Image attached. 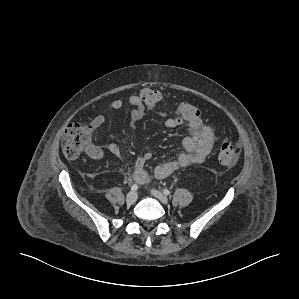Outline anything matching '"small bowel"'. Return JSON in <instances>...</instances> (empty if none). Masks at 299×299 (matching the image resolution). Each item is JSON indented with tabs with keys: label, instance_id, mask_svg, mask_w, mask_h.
I'll return each instance as SVG.
<instances>
[{
	"label": "small bowel",
	"instance_id": "c3829d8e",
	"mask_svg": "<svg viewBox=\"0 0 299 299\" xmlns=\"http://www.w3.org/2000/svg\"><path fill=\"white\" fill-rule=\"evenodd\" d=\"M126 104L130 106V117L134 122L142 119L147 113H151L162 118L167 128L174 129L180 126L166 111L161 109L150 111L146 109L139 94L128 96L126 101L117 99L110 102L100 114L93 118L90 126L93 129L99 128L104 124L107 112L121 109ZM187 130L188 134L182 139L184 151L179 154L175 160L156 166L154 169L155 178L163 179L181 168L200 164L210 153L215 141L214 130L206 125L201 118H197L188 123ZM107 150L110 154L115 156L120 154L118 145L114 143L109 144ZM91 155L94 158H101L104 153L100 149H93ZM151 158V153H145L136 159L132 176L137 183L145 184L149 181L150 177L146 171V165Z\"/></svg>",
	"mask_w": 299,
	"mask_h": 299
}]
</instances>
